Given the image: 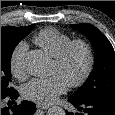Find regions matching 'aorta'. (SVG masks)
Returning <instances> with one entry per match:
<instances>
[{
    "label": "aorta",
    "mask_w": 115,
    "mask_h": 115,
    "mask_svg": "<svg viewBox=\"0 0 115 115\" xmlns=\"http://www.w3.org/2000/svg\"><path fill=\"white\" fill-rule=\"evenodd\" d=\"M24 63L26 71L32 76L43 77L48 72V60L41 51L29 52ZM47 115H66V112L59 106H53L48 110Z\"/></svg>",
    "instance_id": "762f6f07"
}]
</instances>
